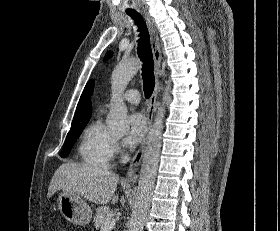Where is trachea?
I'll list each match as a JSON object with an SVG mask.
<instances>
[{
    "label": "trachea",
    "instance_id": "1",
    "mask_svg": "<svg viewBox=\"0 0 280 231\" xmlns=\"http://www.w3.org/2000/svg\"><path fill=\"white\" fill-rule=\"evenodd\" d=\"M132 19L135 20L139 27L140 39L138 46V55L143 62L142 78H143V90L145 97L148 99L151 97L154 87L155 78L153 73V56L150 46V36L148 33L147 26L142 16L135 10H128L126 12Z\"/></svg>",
    "mask_w": 280,
    "mask_h": 231
}]
</instances>
